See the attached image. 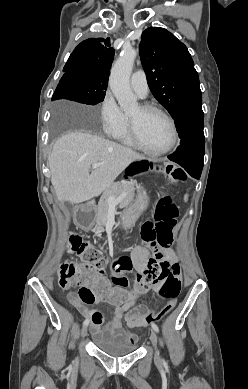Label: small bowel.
Here are the masks:
<instances>
[{
  "mask_svg": "<svg viewBox=\"0 0 248 389\" xmlns=\"http://www.w3.org/2000/svg\"><path fill=\"white\" fill-rule=\"evenodd\" d=\"M160 253L163 254L166 259L174 264L177 263L178 258L175 252L170 248H161ZM150 251L147 246L143 244H138L134 247L131 252L132 265L136 271H142L145 266L147 259L149 257ZM108 285V283H107ZM109 286V285H108ZM110 287V286H109ZM160 285H156L154 288L158 290ZM112 288V287H111ZM118 290L126 293L128 299L120 304H113L109 301L103 299L95 300L91 305L98 306L103 303H109L114 305L113 317L112 320L105 325L104 332L108 334H126L131 337L132 341L137 344L138 336L136 333L132 332V329L142 328L145 325L144 315L146 313L147 307L143 304H136V297L133 290L130 288L128 292L123 290V286L115 287ZM68 302L74 306L80 313L88 320L91 321L92 311L87 304H85L79 297L78 293L70 292L67 295ZM92 322V321H91ZM93 324V323H92ZM94 325V324H93ZM95 326V325H94ZM96 327V326H95Z\"/></svg>",
  "mask_w": 248,
  "mask_h": 389,
  "instance_id": "1",
  "label": "small bowel"
}]
</instances>
